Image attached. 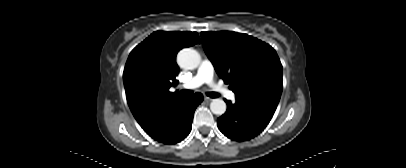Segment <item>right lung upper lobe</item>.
<instances>
[{
	"instance_id": "obj_1",
	"label": "right lung upper lobe",
	"mask_w": 406,
	"mask_h": 168,
	"mask_svg": "<svg viewBox=\"0 0 406 168\" xmlns=\"http://www.w3.org/2000/svg\"><path fill=\"white\" fill-rule=\"evenodd\" d=\"M197 43L200 38L196 32L156 31L130 53L123 80L128 105L142 128L180 99L176 92L169 91L178 83L176 55Z\"/></svg>"
}]
</instances>
